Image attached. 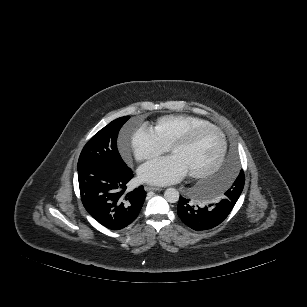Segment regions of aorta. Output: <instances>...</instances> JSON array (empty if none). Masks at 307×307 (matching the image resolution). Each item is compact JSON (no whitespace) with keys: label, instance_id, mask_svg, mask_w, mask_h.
<instances>
[{"label":"aorta","instance_id":"1","mask_svg":"<svg viewBox=\"0 0 307 307\" xmlns=\"http://www.w3.org/2000/svg\"><path fill=\"white\" fill-rule=\"evenodd\" d=\"M164 198L169 203H176L179 200V192L175 188H167L164 192Z\"/></svg>","mask_w":307,"mask_h":307}]
</instances>
